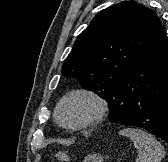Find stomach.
Returning a JSON list of instances; mask_svg holds the SVG:
<instances>
[{"mask_svg":"<svg viewBox=\"0 0 168 162\" xmlns=\"http://www.w3.org/2000/svg\"><path fill=\"white\" fill-rule=\"evenodd\" d=\"M83 162H103V157L99 154H91Z\"/></svg>","mask_w":168,"mask_h":162,"instance_id":"obj_1","label":"stomach"}]
</instances>
